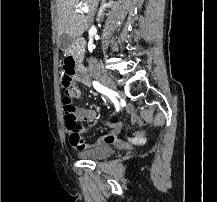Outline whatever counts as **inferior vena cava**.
<instances>
[{
	"label": "inferior vena cava",
	"instance_id": "obj_1",
	"mask_svg": "<svg viewBox=\"0 0 217 202\" xmlns=\"http://www.w3.org/2000/svg\"><path fill=\"white\" fill-rule=\"evenodd\" d=\"M90 2H91L90 10H94L95 6H97L98 4V0H90Z\"/></svg>",
	"mask_w": 217,
	"mask_h": 202
}]
</instances>
